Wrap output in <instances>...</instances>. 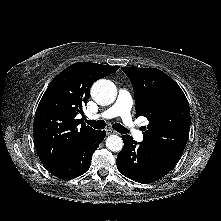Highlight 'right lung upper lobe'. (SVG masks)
Segmentation results:
<instances>
[{
  "mask_svg": "<svg viewBox=\"0 0 221 221\" xmlns=\"http://www.w3.org/2000/svg\"><path fill=\"white\" fill-rule=\"evenodd\" d=\"M118 69L119 66L78 62L51 81L33 124L35 146L44 167L66 157L95 131L76 116L83 114L92 84Z\"/></svg>",
  "mask_w": 221,
  "mask_h": 221,
  "instance_id": "obj_1",
  "label": "right lung upper lobe"
}]
</instances>
